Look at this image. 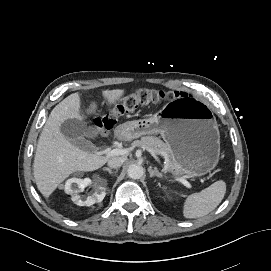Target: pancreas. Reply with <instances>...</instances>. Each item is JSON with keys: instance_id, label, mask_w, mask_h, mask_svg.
I'll return each mask as SVG.
<instances>
[{"instance_id": "obj_1", "label": "pancreas", "mask_w": 271, "mask_h": 271, "mask_svg": "<svg viewBox=\"0 0 271 271\" xmlns=\"http://www.w3.org/2000/svg\"><path fill=\"white\" fill-rule=\"evenodd\" d=\"M133 146L141 147L143 149H147L149 151H153L155 154L164 156L168 158L166 168L172 173L176 174L179 172V164L176 162L174 158L170 155V148L166 143L162 140L153 137V136H144L141 140L135 141Z\"/></svg>"}]
</instances>
